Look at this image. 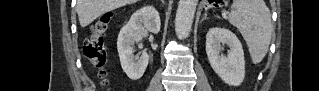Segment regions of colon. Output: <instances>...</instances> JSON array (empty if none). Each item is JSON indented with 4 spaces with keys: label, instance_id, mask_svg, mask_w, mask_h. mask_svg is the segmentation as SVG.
<instances>
[{
    "label": "colon",
    "instance_id": "obj_1",
    "mask_svg": "<svg viewBox=\"0 0 319 91\" xmlns=\"http://www.w3.org/2000/svg\"><path fill=\"white\" fill-rule=\"evenodd\" d=\"M110 15L101 16L91 28V33L86 39L83 47L84 56L91 65L99 70V75L104 76L103 67L106 63L104 50V34L110 23Z\"/></svg>",
    "mask_w": 319,
    "mask_h": 91
}]
</instances>
